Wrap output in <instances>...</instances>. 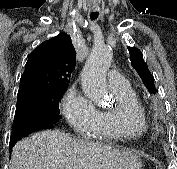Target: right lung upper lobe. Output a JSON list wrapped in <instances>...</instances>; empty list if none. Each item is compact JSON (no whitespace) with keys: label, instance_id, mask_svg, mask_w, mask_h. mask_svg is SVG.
Listing matches in <instances>:
<instances>
[{"label":"right lung upper lobe","instance_id":"1","mask_svg":"<svg viewBox=\"0 0 177 169\" xmlns=\"http://www.w3.org/2000/svg\"><path fill=\"white\" fill-rule=\"evenodd\" d=\"M76 65L71 37L65 33L43 42L28 57L17 97L48 96L66 90Z\"/></svg>","mask_w":177,"mask_h":169}]
</instances>
